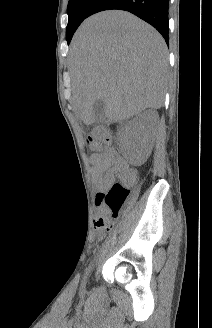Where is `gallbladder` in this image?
Listing matches in <instances>:
<instances>
[{
	"instance_id": "gallbladder-1",
	"label": "gallbladder",
	"mask_w": 212,
	"mask_h": 328,
	"mask_svg": "<svg viewBox=\"0 0 212 328\" xmlns=\"http://www.w3.org/2000/svg\"><path fill=\"white\" fill-rule=\"evenodd\" d=\"M92 110L95 115L94 123L101 122L103 120L104 102L101 99L96 100L93 104Z\"/></svg>"
}]
</instances>
